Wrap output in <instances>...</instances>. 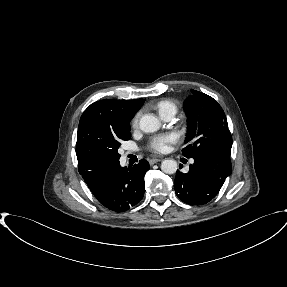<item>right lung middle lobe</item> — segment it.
<instances>
[{"mask_svg": "<svg viewBox=\"0 0 287 287\" xmlns=\"http://www.w3.org/2000/svg\"><path fill=\"white\" fill-rule=\"evenodd\" d=\"M130 139V134H128L126 137H123L119 140H115L112 143L111 149L108 153V159L111 163L117 162L120 158V154L118 153V148L120 146V142L122 140H129Z\"/></svg>", "mask_w": 287, "mask_h": 287, "instance_id": "1", "label": "right lung middle lobe"}]
</instances>
